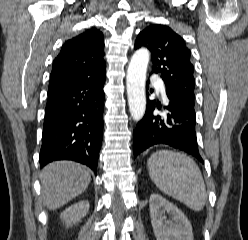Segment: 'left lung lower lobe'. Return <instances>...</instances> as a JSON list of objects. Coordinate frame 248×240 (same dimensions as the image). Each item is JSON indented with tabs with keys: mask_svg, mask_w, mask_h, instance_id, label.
<instances>
[{
	"mask_svg": "<svg viewBox=\"0 0 248 240\" xmlns=\"http://www.w3.org/2000/svg\"><path fill=\"white\" fill-rule=\"evenodd\" d=\"M147 90L149 81H147ZM169 103L162 108L160 103L149 100L147 92V106L144 117L138 122L133 132V153L136 158L141 152L155 144H166L203 162L196 138V114L194 104L178 100L166 92ZM166 110L165 115L154 114V109Z\"/></svg>",
	"mask_w": 248,
	"mask_h": 240,
	"instance_id": "obj_1",
	"label": "left lung lower lobe"
}]
</instances>
